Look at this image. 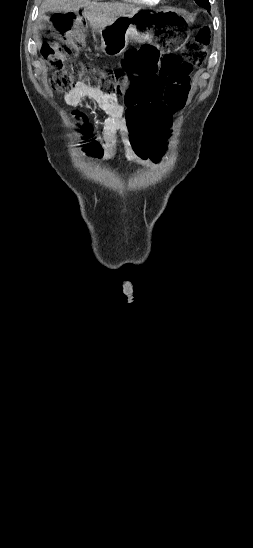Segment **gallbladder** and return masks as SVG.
<instances>
[{"label":"gallbladder","mask_w":253,"mask_h":548,"mask_svg":"<svg viewBox=\"0 0 253 548\" xmlns=\"http://www.w3.org/2000/svg\"><path fill=\"white\" fill-rule=\"evenodd\" d=\"M47 19H48V17L43 16V18L40 21V25L43 26L46 23Z\"/></svg>","instance_id":"bac80fb5"}]
</instances>
